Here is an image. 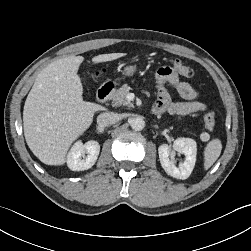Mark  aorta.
Wrapping results in <instances>:
<instances>
[{
    "mask_svg": "<svg viewBox=\"0 0 251 251\" xmlns=\"http://www.w3.org/2000/svg\"><path fill=\"white\" fill-rule=\"evenodd\" d=\"M130 125L133 130L141 131L145 127V121L140 117H136L131 120Z\"/></svg>",
    "mask_w": 251,
    "mask_h": 251,
    "instance_id": "1",
    "label": "aorta"
}]
</instances>
